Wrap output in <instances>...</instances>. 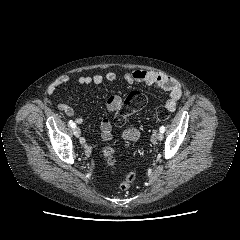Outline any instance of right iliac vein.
I'll list each match as a JSON object with an SVG mask.
<instances>
[{
	"mask_svg": "<svg viewBox=\"0 0 240 240\" xmlns=\"http://www.w3.org/2000/svg\"><path fill=\"white\" fill-rule=\"evenodd\" d=\"M73 133L78 138L80 136V134H81V131H80V129L78 127H75L73 129Z\"/></svg>",
	"mask_w": 240,
	"mask_h": 240,
	"instance_id": "obj_1",
	"label": "right iliac vein"
}]
</instances>
